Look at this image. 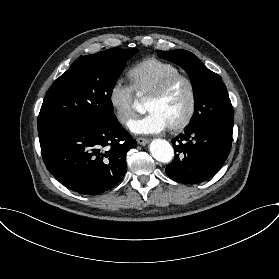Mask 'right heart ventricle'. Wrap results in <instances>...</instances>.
Returning <instances> with one entry per match:
<instances>
[{
	"label": "right heart ventricle",
	"mask_w": 279,
	"mask_h": 279,
	"mask_svg": "<svg viewBox=\"0 0 279 279\" xmlns=\"http://www.w3.org/2000/svg\"><path fill=\"white\" fill-rule=\"evenodd\" d=\"M182 73L175 64L158 58H147L129 71L132 88L140 94H152L167 78Z\"/></svg>",
	"instance_id": "e07e8e85"
}]
</instances>
